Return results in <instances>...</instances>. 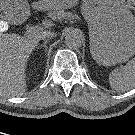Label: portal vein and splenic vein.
Returning <instances> with one entry per match:
<instances>
[{"instance_id": "1", "label": "portal vein and splenic vein", "mask_w": 135, "mask_h": 135, "mask_svg": "<svg viewBox=\"0 0 135 135\" xmlns=\"http://www.w3.org/2000/svg\"><path fill=\"white\" fill-rule=\"evenodd\" d=\"M41 29H42V28H41L40 26H32V27H29V28L27 29L26 33H27L28 35H30V34H35V33L40 32Z\"/></svg>"}]
</instances>
